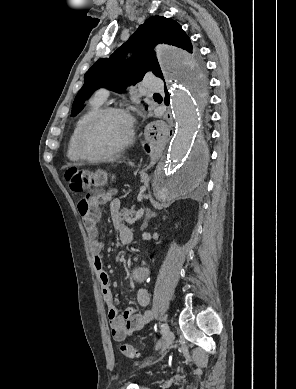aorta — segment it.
<instances>
[{"mask_svg": "<svg viewBox=\"0 0 296 389\" xmlns=\"http://www.w3.org/2000/svg\"><path fill=\"white\" fill-rule=\"evenodd\" d=\"M159 54L158 65L168 80L175 120V134L168 157L153 186L155 199L165 201L189 189H200L210 147L200 134L207 98L205 68L191 67L190 55L176 47L161 45ZM136 275L143 277L146 272L138 270Z\"/></svg>", "mask_w": 296, "mask_h": 389, "instance_id": "762f6f07", "label": "aorta"}]
</instances>
